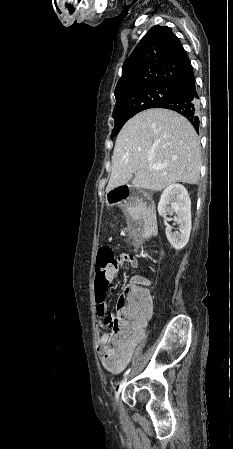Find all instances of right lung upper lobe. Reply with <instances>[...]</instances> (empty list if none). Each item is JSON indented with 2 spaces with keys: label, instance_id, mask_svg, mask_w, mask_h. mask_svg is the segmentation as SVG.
<instances>
[{
  "label": "right lung upper lobe",
  "instance_id": "1",
  "mask_svg": "<svg viewBox=\"0 0 233 449\" xmlns=\"http://www.w3.org/2000/svg\"><path fill=\"white\" fill-rule=\"evenodd\" d=\"M194 77L189 57L171 28L153 26L122 67L115 98L153 85H169Z\"/></svg>",
  "mask_w": 233,
  "mask_h": 449
}]
</instances>
